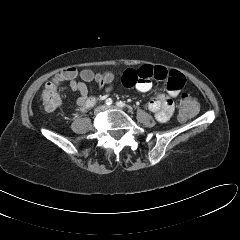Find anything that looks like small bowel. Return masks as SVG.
<instances>
[{
    "label": "small bowel",
    "mask_w": 240,
    "mask_h": 240,
    "mask_svg": "<svg viewBox=\"0 0 240 240\" xmlns=\"http://www.w3.org/2000/svg\"><path fill=\"white\" fill-rule=\"evenodd\" d=\"M83 81H77L75 78L70 79V88L77 92L79 97L76 104L85 108L87 103L92 99L91 88L87 85L96 81L100 88L108 93L111 91L116 77L114 73L106 71L95 74L90 70L82 72ZM152 79L166 82L167 94H155L146 104L145 108L152 112L155 118L160 122L169 121L174 115L173 98L177 97L186 84L185 76L176 71L168 70L163 66L145 65L137 69H127L121 76V82L126 87H135L140 92H148L152 88Z\"/></svg>",
    "instance_id": "1"
}]
</instances>
